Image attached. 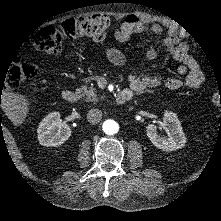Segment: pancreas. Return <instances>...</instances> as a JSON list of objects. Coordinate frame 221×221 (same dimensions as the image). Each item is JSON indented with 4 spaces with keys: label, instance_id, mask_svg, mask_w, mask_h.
I'll use <instances>...</instances> for the list:
<instances>
[{
    "label": "pancreas",
    "instance_id": "1",
    "mask_svg": "<svg viewBox=\"0 0 221 221\" xmlns=\"http://www.w3.org/2000/svg\"><path fill=\"white\" fill-rule=\"evenodd\" d=\"M81 95L85 96V101L89 103H97L99 98L96 94V89H94L93 84L89 87L87 85H81L76 89Z\"/></svg>",
    "mask_w": 221,
    "mask_h": 221
}]
</instances>
